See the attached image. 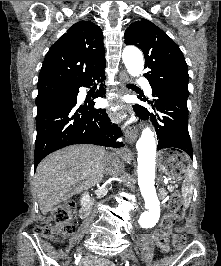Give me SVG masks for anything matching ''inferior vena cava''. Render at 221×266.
Listing matches in <instances>:
<instances>
[{
	"instance_id": "1",
	"label": "inferior vena cava",
	"mask_w": 221,
	"mask_h": 266,
	"mask_svg": "<svg viewBox=\"0 0 221 266\" xmlns=\"http://www.w3.org/2000/svg\"><path fill=\"white\" fill-rule=\"evenodd\" d=\"M121 169L122 164L116 157H112L111 155H108L106 157L105 171L108 174L112 176H118L121 172Z\"/></svg>"
}]
</instances>
